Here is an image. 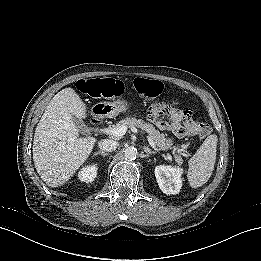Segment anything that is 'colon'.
<instances>
[{
	"instance_id": "obj_1",
	"label": "colon",
	"mask_w": 261,
	"mask_h": 261,
	"mask_svg": "<svg viewBox=\"0 0 261 261\" xmlns=\"http://www.w3.org/2000/svg\"><path fill=\"white\" fill-rule=\"evenodd\" d=\"M133 84L134 88L140 95L154 99V102L149 109L152 115L161 119L162 116L169 117V121L167 122L170 123L175 135L185 136L190 133V127L186 126L184 122L185 120H190L192 122L191 110L186 108L179 110L174 104L162 98L161 94L163 92V85L161 82L146 78H135ZM76 88L80 92L95 98L113 97L121 92L122 84L112 78H92L78 80L76 82ZM194 128L204 135L208 134L210 131L209 126L202 122H194Z\"/></svg>"
}]
</instances>
